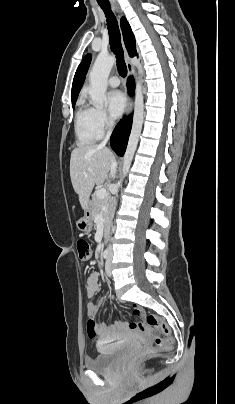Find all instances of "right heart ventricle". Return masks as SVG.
<instances>
[{
  "label": "right heart ventricle",
  "instance_id": "obj_1",
  "mask_svg": "<svg viewBox=\"0 0 235 404\" xmlns=\"http://www.w3.org/2000/svg\"><path fill=\"white\" fill-rule=\"evenodd\" d=\"M74 131L77 144L85 146L94 143L101 137L95 126L93 108L81 99L75 114Z\"/></svg>",
  "mask_w": 235,
  "mask_h": 404
}]
</instances>
